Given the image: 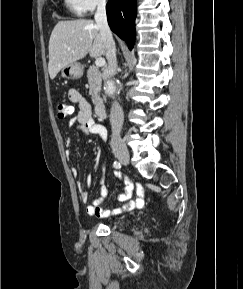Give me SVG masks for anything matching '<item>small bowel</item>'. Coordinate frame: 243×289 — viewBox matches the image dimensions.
Instances as JSON below:
<instances>
[{
    "label": "small bowel",
    "instance_id": "c3829d8e",
    "mask_svg": "<svg viewBox=\"0 0 243 289\" xmlns=\"http://www.w3.org/2000/svg\"><path fill=\"white\" fill-rule=\"evenodd\" d=\"M68 98L71 102L78 104L79 110L76 115L70 119L69 126L75 127L81 134L87 135L89 133L96 134L99 138L103 141L107 139V129L97 123L91 113V108L89 103L85 100L82 94L74 88L68 90ZM105 165H102V173H104ZM73 175H77V169H72ZM103 177V174H102ZM125 193H122L118 196V200L121 202H125L120 208L110 210H105L102 207V204L105 198L108 196V188L102 183L101 179V188H100V195L92 204L86 206V212L89 215L97 216V217H107L111 214H119L122 212H128L135 209H140L144 205V193L142 188L137 189V197L135 200H130L132 196L133 185L128 180L125 179ZM91 184V176L88 175L86 178V189L82 188V184L78 183V188L80 190V200L83 203H86L89 199V186Z\"/></svg>",
    "mask_w": 243,
    "mask_h": 289
}]
</instances>
